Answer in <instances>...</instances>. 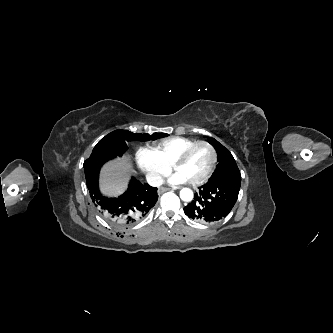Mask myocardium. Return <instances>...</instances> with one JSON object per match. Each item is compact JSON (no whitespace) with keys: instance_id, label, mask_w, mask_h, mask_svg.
<instances>
[{"instance_id":"myocardium-1","label":"myocardium","mask_w":333,"mask_h":333,"mask_svg":"<svg viewBox=\"0 0 333 333\" xmlns=\"http://www.w3.org/2000/svg\"><path fill=\"white\" fill-rule=\"evenodd\" d=\"M198 146H205V147L209 148L212 152L213 157H212L211 165H210L209 169L207 170V172L202 177H200L199 179L189 182V184L192 185V186H199V185L205 183L211 177L213 172L215 171V168H216L217 162H218V152H217L216 148L211 143H209L207 141H196L192 145L185 148L175 158V160L171 164V169L173 171H175V169L179 165L183 164L187 160V158H188L189 154L192 152V150L195 149Z\"/></svg>"}]
</instances>
